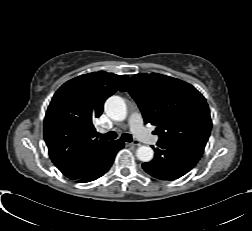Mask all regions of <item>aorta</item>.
Instances as JSON below:
<instances>
[{
	"label": "aorta",
	"instance_id": "obj_1",
	"mask_svg": "<svg viewBox=\"0 0 252 231\" xmlns=\"http://www.w3.org/2000/svg\"><path fill=\"white\" fill-rule=\"evenodd\" d=\"M106 114L115 121H123L127 117V107L124 100L119 96H111L105 102ZM154 152L150 146L142 145L136 150L137 158L142 162H150Z\"/></svg>",
	"mask_w": 252,
	"mask_h": 231
}]
</instances>
